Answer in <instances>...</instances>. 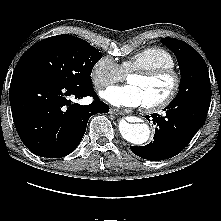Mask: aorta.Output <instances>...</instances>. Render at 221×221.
Segmentation results:
<instances>
[{"label":"aorta","instance_id":"1","mask_svg":"<svg viewBox=\"0 0 221 221\" xmlns=\"http://www.w3.org/2000/svg\"><path fill=\"white\" fill-rule=\"evenodd\" d=\"M118 128L122 137L132 144L141 145L150 138V127L145 123H130L121 119Z\"/></svg>","mask_w":221,"mask_h":221}]
</instances>
